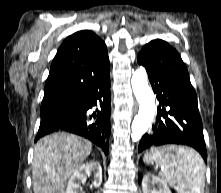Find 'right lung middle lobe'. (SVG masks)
I'll list each match as a JSON object with an SVG mask.
<instances>
[{"mask_svg":"<svg viewBox=\"0 0 221 193\" xmlns=\"http://www.w3.org/2000/svg\"><path fill=\"white\" fill-rule=\"evenodd\" d=\"M75 103V99L42 102L40 126L47 125L70 114L75 109Z\"/></svg>","mask_w":221,"mask_h":193,"instance_id":"obj_1","label":"right lung middle lobe"}]
</instances>
